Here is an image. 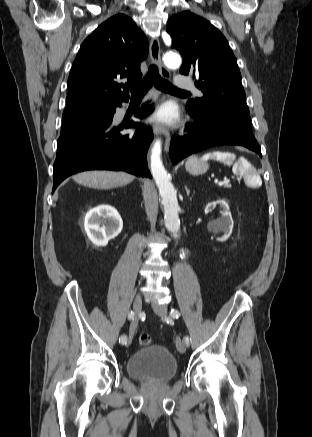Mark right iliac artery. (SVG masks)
<instances>
[{"mask_svg": "<svg viewBox=\"0 0 312 437\" xmlns=\"http://www.w3.org/2000/svg\"><path fill=\"white\" fill-rule=\"evenodd\" d=\"M128 318H129L130 320H133V319H134V312H133V311H131V312L128 313ZM126 341H127V336H126V335H122V336L119 338V343H121V344L126 343Z\"/></svg>", "mask_w": 312, "mask_h": 437, "instance_id": "1", "label": "right iliac artery"}]
</instances>
